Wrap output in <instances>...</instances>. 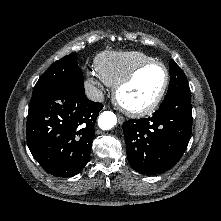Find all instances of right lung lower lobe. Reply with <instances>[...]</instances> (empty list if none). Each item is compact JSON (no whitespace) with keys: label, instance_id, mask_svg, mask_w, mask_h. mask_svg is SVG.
Listing matches in <instances>:
<instances>
[{"label":"right lung lower lobe","instance_id":"1","mask_svg":"<svg viewBox=\"0 0 221 221\" xmlns=\"http://www.w3.org/2000/svg\"><path fill=\"white\" fill-rule=\"evenodd\" d=\"M103 108L85 90L60 86L29 104L27 145L45 171L57 177L78 174L88 163L94 123Z\"/></svg>","mask_w":221,"mask_h":221}]
</instances>
